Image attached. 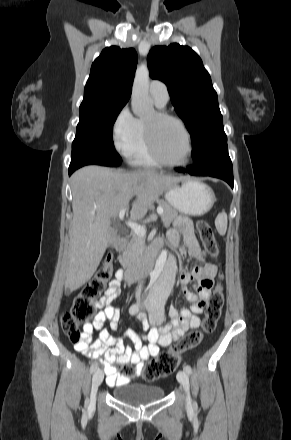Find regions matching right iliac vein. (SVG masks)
<instances>
[{"instance_id":"obj_1","label":"right iliac vein","mask_w":291,"mask_h":440,"mask_svg":"<svg viewBox=\"0 0 291 440\" xmlns=\"http://www.w3.org/2000/svg\"><path fill=\"white\" fill-rule=\"evenodd\" d=\"M104 378V373L101 369H97L95 373L93 374L92 378V387H91V394H90V406L95 404L96 399V393L98 390V387L101 385Z\"/></svg>"}]
</instances>
